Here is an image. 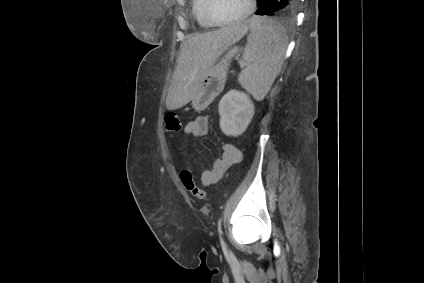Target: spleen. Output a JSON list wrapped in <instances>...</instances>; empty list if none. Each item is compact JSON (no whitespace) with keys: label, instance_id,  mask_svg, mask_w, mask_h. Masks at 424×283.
I'll use <instances>...</instances> for the list:
<instances>
[{"label":"spleen","instance_id":"spleen-1","mask_svg":"<svg viewBox=\"0 0 424 283\" xmlns=\"http://www.w3.org/2000/svg\"><path fill=\"white\" fill-rule=\"evenodd\" d=\"M250 34L242 55L247 67L238 80L254 98L264 99L280 73L288 37L285 29L272 19L252 17Z\"/></svg>","mask_w":424,"mask_h":283}]
</instances>
